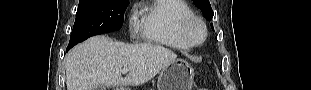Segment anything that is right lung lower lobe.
Segmentation results:
<instances>
[{
    "mask_svg": "<svg viewBox=\"0 0 311 90\" xmlns=\"http://www.w3.org/2000/svg\"><path fill=\"white\" fill-rule=\"evenodd\" d=\"M70 48H71V46H68L66 51H68Z\"/></svg>",
    "mask_w": 311,
    "mask_h": 90,
    "instance_id": "98d812e1",
    "label": "right lung lower lobe"
}]
</instances>
